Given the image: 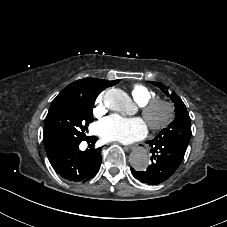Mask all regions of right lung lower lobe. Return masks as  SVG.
<instances>
[{
    "label": "right lung lower lobe",
    "instance_id": "right-lung-lower-lobe-1",
    "mask_svg": "<svg viewBox=\"0 0 227 227\" xmlns=\"http://www.w3.org/2000/svg\"><path fill=\"white\" fill-rule=\"evenodd\" d=\"M88 143L95 142L97 137H86ZM82 141L64 144L47 152L54 170L65 179L74 182H85L93 178L101 165V148L79 150Z\"/></svg>",
    "mask_w": 227,
    "mask_h": 227
}]
</instances>
